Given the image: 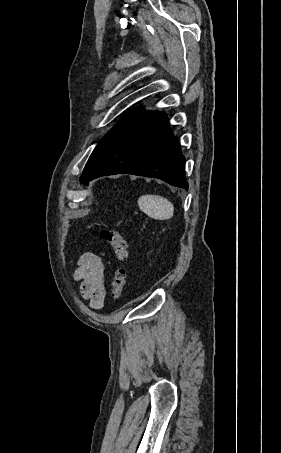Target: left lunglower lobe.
I'll return each instance as SVG.
<instances>
[{
  "label": "left lung lower lobe",
  "mask_w": 281,
  "mask_h": 453,
  "mask_svg": "<svg viewBox=\"0 0 281 453\" xmlns=\"http://www.w3.org/2000/svg\"><path fill=\"white\" fill-rule=\"evenodd\" d=\"M184 164L185 158L165 114L140 109L111 133L86 164L80 181L87 184L100 176L128 173L159 178L187 189Z\"/></svg>",
  "instance_id": "left-lung-lower-lobe-1"
}]
</instances>
